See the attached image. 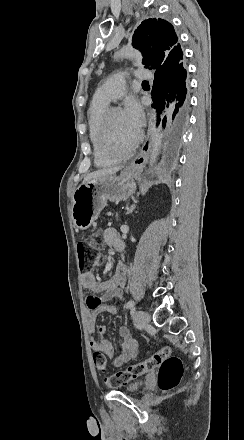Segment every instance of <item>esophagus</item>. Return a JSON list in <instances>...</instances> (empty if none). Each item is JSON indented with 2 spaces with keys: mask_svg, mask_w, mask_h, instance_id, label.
I'll return each mask as SVG.
<instances>
[{
  "mask_svg": "<svg viewBox=\"0 0 244 440\" xmlns=\"http://www.w3.org/2000/svg\"><path fill=\"white\" fill-rule=\"evenodd\" d=\"M153 127H154V115H149V124H148V134L143 146L138 153V155L134 158V160L127 167L131 171L141 170L148 160L149 152L152 146V136H153Z\"/></svg>",
  "mask_w": 244,
  "mask_h": 440,
  "instance_id": "esophagus-1",
  "label": "esophagus"
}]
</instances>
